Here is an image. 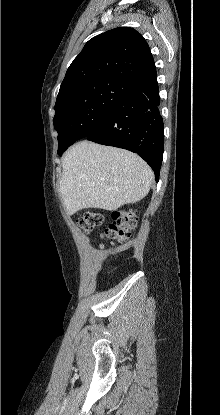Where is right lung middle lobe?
Returning a JSON list of instances; mask_svg holds the SVG:
<instances>
[{
    "mask_svg": "<svg viewBox=\"0 0 220 415\" xmlns=\"http://www.w3.org/2000/svg\"><path fill=\"white\" fill-rule=\"evenodd\" d=\"M135 89V85L118 78H101L60 91L53 121L58 131V152L97 131L109 111Z\"/></svg>",
    "mask_w": 220,
    "mask_h": 415,
    "instance_id": "1",
    "label": "right lung middle lobe"
}]
</instances>
